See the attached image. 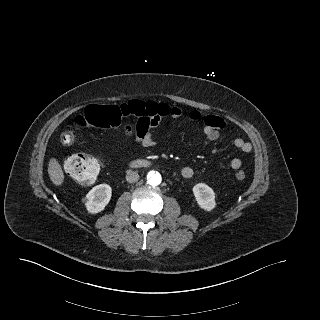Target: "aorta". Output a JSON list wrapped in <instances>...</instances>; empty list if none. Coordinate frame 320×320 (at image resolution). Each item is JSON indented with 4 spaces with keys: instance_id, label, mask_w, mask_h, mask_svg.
<instances>
[{
    "instance_id": "762f6f07",
    "label": "aorta",
    "mask_w": 320,
    "mask_h": 320,
    "mask_svg": "<svg viewBox=\"0 0 320 320\" xmlns=\"http://www.w3.org/2000/svg\"><path fill=\"white\" fill-rule=\"evenodd\" d=\"M162 181V177L159 172L150 171L147 175V182L151 186H158Z\"/></svg>"
}]
</instances>
